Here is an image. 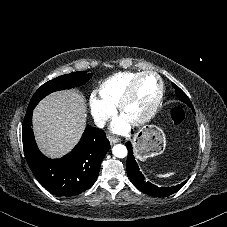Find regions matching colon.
I'll use <instances>...</instances> for the list:
<instances>
[{
  "instance_id": "obj_1",
  "label": "colon",
  "mask_w": 227,
  "mask_h": 227,
  "mask_svg": "<svg viewBox=\"0 0 227 227\" xmlns=\"http://www.w3.org/2000/svg\"><path fill=\"white\" fill-rule=\"evenodd\" d=\"M171 119L176 124H181L186 119V113L182 108L175 107L171 110Z\"/></svg>"
}]
</instances>
